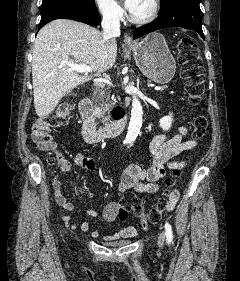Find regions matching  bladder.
<instances>
[{
  "mask_svg": "<svg viewBox=\"0 0 240 281\" xmlns=\"http://www.w3.org/2000/svg\"><path fill=\"white\" fill-rule=\"evenodd\" d=\"M129 243H130L129 239H121V240H117V241H110V242H107L106 244L109 246H113V247H121V246L128 245Z\"/></svg>",
  "mask_w": 240,
  "mask_h": 281,
  "instance_id": "31cf9c89",
  "label": "bladder"
}]
</instances>
